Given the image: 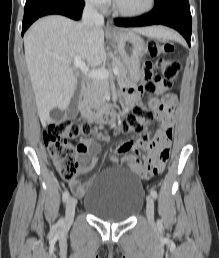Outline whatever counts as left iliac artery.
Wrapping results in <instances>:
<instances>
[{"label": "left iliac artery", "instance_id": "left-iliac-artery-1", "mask_svg": "<svg viewBox=\"0 0 219 258\" xmlns=\"http://www.w3.org/2000/svg\"><path fill=\"white\" fill-rule=\"evenodd\" d=\"M150 194H151V196H152L154 199H156L157 196H158L155 189H151V190H150Z\"/></svg>", "mask_w": 219, "mask_h": 258}]
</instances>
